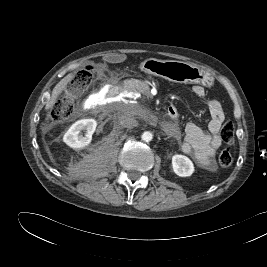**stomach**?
Wrapping results in <instances>:
<instances>
[{
    "instance_id": "stomach-1",
    "label": "stomach",
    "mask_w": 267,
    "mask_h": 267,
    "mask_svg": "<svg viewBox=\"0 0 267 267\" xmlns=\"http://www.w3.org/2000/svg\"><path fill=\"white\" fill-rule=\"evenodd\" d=\"M143 72L163 77L172 82L211 86L213 77L209 72L187 62L149 58L140 65Z\"/></svg>"
}]
</instances>
